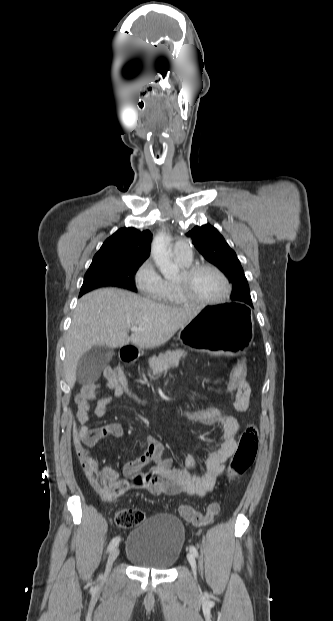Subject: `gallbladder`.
I'll return each mask as SVG.
<instances>
[{
	"label": "gallbladder",
	"mask_w": 333,
	"mask_h": 621,
	"mask_svg": "<svg viewBox=\"0 0 333 621\" xmlns=\"http://www.w3.org/2000/svg\"><path fill=\"white\" fill-rule=\"evenodd\" d=\"M114 355L113 348L94 346L78 362L76 375L80 384L95 382Z\"/></svg>",
	"instance_id": "bac80fb5"
}]
</instances>
